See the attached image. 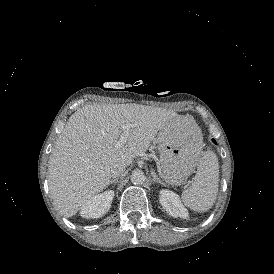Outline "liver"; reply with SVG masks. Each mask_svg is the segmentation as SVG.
<instances>
[{"label":"liver","mask_w":274,"mask_h":274,"mask_svg":"<svg viewBox=\"0 0 274 274\" xmlns=\"http://www.w3.org/2000/svg\"><path fill=\"white\" fill-rule=\"evenodd\" d=\"M185 119L160 107L129 104H89L69 118L52 151L48 183L55 204L71 217L109 184L117 165L129 166L146 152L155 136L171 135ZM132 124L123 147L115 144L122 126Z\"/></svg>","instance_id":"obj_1"}]
</instances>
